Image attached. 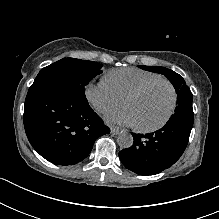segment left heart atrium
Wrapping results in <instances>:
<instances>
[{
    "instance_id": "39dd6f15",
    "label": "left heart atrium",
    "mask_w": 219,
    "mask_h": 219,
    "mask_svg": "<svg viewBox=\"0 0 219 219\" xmlns=\"http://www.w3.org/2000/svg\"><path fill=\"white\" fill-rule=\"evenodd\" d=\"M107 123L123 124L135 126L137 125L135 115L132 111L125 109L118 113L109 114L105 117Z\"/></svg>"
}]
</instances>
